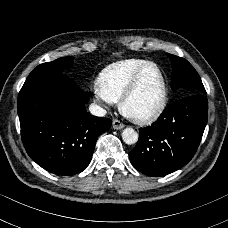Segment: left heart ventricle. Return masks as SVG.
<instances>
[{"label": "left heart ventricle", "instance_id": "b2bd125f", "mask_svg": "<svg viewBox=\"0 0 228 228\" xmlns=\"http://www.w3.org/2000/svg\"><path fill=\"white\" fill-rule=\"evenodd\" d=\"M162 102V79L155 68H149L144 74L136 94L128 103L133 115L146 116L155 112Z\"/></svg>", "mask_w": 228, "mask_h": 228}]
</instances>
